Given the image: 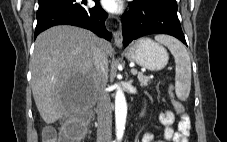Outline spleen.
Returning a JSON list of instances; mask_svg holds the SVG:
<instances>
[{
    "label": "spleen",
    "mask_w": 227,
    "mask_h": 142,
    "mask_svg": "<svg viewBox=\"0 0 227 142\" xmlns=\"http://www.w3.org/2000/svg\"><path fill=\"white\" fill-rule=\"evenodd\" d=\"M155 40L168 47L175 59V92L184 101L191 89V62L185 46L177 39L168 35H157Z\"/></svg>",
    "instance_id": "1"
}]
</instances>
